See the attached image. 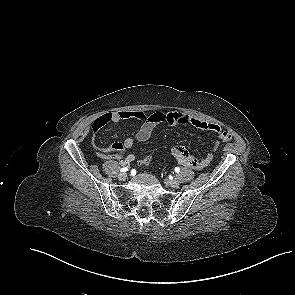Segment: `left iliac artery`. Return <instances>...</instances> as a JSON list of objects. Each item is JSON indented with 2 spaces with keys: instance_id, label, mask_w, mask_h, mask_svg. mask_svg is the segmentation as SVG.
I'll use <instances>...</instances> for the list:
<instances>
[{
  "instance_id": "44dca946",
  "label": "left iliac artery",
  "mask_w": 295,
  "mask_h": 295,
  "mask_svg": "<svg viewBox=\"0 0 295 295\" xmlns=\"http://www.w3.org/2000/svg\"><path fill=\"white\" fill-rule=\"evenodd\" d=\"M175 172H176V173H179V172H180V168H179V167H176V168H175Z\"/></svg>"
}]
</instances>
